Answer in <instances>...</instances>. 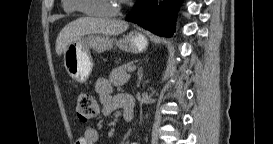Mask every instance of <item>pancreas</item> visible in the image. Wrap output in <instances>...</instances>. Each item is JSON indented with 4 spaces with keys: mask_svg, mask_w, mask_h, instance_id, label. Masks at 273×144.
<instances>
[{
    "mask_svg": "<svg viewBox=\"0 0 273 144\" xmlns=\"http://www.w3.org/2000/svg\"><path fill=\"white\" fill-rule=\"evenodd\" d=\"M132 64H124L112 70L109 76V81L113 84V86H122L126 84L130 78V75L127 73L129 67Z\"/></svg>",
    "mask_w": 273,
    "mask_h": 144,
    "instance_id": "1",
    "label": "pancreas"
}]
</instances>
